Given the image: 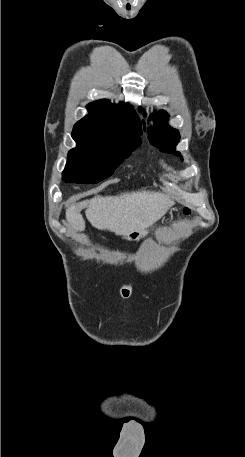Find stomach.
I'll use <instances>...</instances> for the list:
<instances>
[{
  "label": "stomach",
  "instance_id": "stomach-1",
  "mask_svg": "<svg viewBox=\"0 0 245 457\" xmlns=\"http://www.w3.org/2000/svg\"><path fill=\"white\" fill-rule=\"evenodd\" d=\"M146 235H148L147 226H145V229H141V231H132V233H126V235H123V239H125V241H140V239H143V237H146Z\"/></svg>",
  "mask_w": 245,
  "mask_h": 457
}]
</instances>
